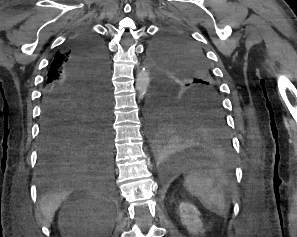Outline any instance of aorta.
<instances>
[{"label":"aorta","instance_id":"aorta-1","mask_svg":"<svg viewBox=\"0 0 297 237\" xmlns=\"http://www.w3.org/2000/svg\"><path fill=\"white\" fill-rule=\"evenodd\" d=\"M150 84V74L146 67H143L137 74L135 88L140 99H143Z\"/></svg>","mask_w":297,"mask_h":237}]
</instances>
